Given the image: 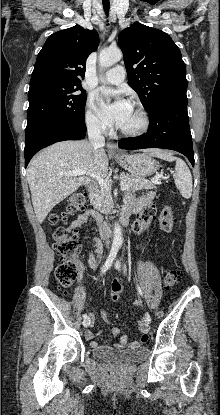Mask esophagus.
Returning a JSON list of instances; mask_svg holds the SVG:
<instances>
[{
  "instance_id": "1",
  "label": "esophagus",
  "mask_w": 220,
  "mask_h": 415,
  "mask_svg": "<svg viewBox=\"0 0 220 415\" xmlns=\"http://www.w3.org/2000/svg\"><path fill=\"white\" fill-rule=\"evenodd\" d=\"M107 148H108L109 153H111V154H119L120 153V151L117 148V145L115 143L111 142V141L107 142Z\"/></svg>"
}]
</instances>
